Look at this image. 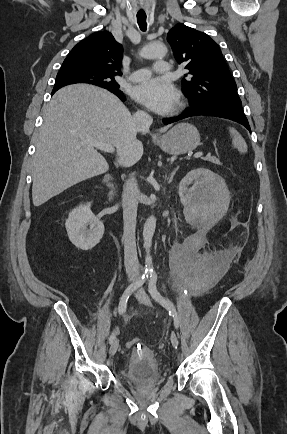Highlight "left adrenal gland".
Returning a JSON list of instances; mask_svg holds the SVG:
<instances>
[{"label":"left adrenal gland","instance_id":"obj_1","mask_svg":"<svg viewBox=\"0 0 287 434\" xmlns=\"http://www.w3.org/2000/svg\"><path fill=\"white\" fill-rule=\"evenodd\" d=\"M177 170H178V167L175 170H173V172L171 173L170 177H168V178H167V175H165V178L167 179L168 183L172 182L173 177L176 174Z\"/></svg>","mask_w":287,"mask_h":434}]
</instances>
